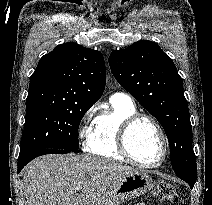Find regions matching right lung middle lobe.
Returning a JSON list of instances; mask_svg holds the SVG:
<instances>
[{"label":"right lung middle lobe","instance_id":"1","mask_svg":"<svg viewBox=\"0 0 212 205\" xmlns=\"http://www.w3.org/2000/svg\"><path fill=\"white\" fill-rule=\"evenodd\" d=\"M92 105H26L20 155L42 148L78 151V128Z\"/></svg>","mask_w":212,"mask_h":205}]
</instances>
